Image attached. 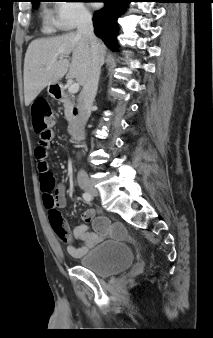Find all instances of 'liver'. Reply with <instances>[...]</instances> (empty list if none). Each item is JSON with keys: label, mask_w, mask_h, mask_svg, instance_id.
Here are the masks:
<instances>
[{"label": "liver", "mask_w": 213, "mask_h": 338, "mask_svg": "<svg viewBox=\"0 0 213 338\" xmlns=\"http://www.w3.org/2000/svg\"><path fill=\"white\" fill-rule=\"evenodd\" d=\"M101 45L105 51V46ZM70 53L71 62L64 58ZM91 62L90 43L77 33L32 41L24 60L25 105H30L46 86L56 84L65 75L84 85L89 77Z\"/></svg>", "instance_id": "6515ba94"}]
</instances>
